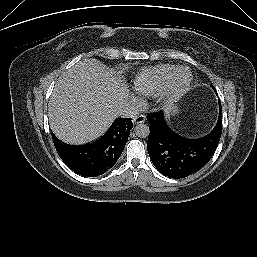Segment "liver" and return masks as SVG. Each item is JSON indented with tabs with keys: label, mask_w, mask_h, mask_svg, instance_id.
I'll return each instance as SVG.
<instances>
[{
	"label": "liver",
	"mask_w": 257,
	"mask_h": 257,
	"mask_svg": "<svg viewBox=\"0 0 257 257\" xmlns=\"http://www.w3.org/2000/svg\"><path fill=\"white\" fill-rule=\"evenodd\" d=\"M128 96L127 86L96 59L77 62L58 79L49 102L54 134L84 144L105 133Z\"/></svg>",
	"instance_id": "6515ba94"
}]
</instances>
